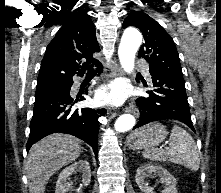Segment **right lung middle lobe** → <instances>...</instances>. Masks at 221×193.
I'll use <instances>...</instances> for the list:
<instances>
[{
  "mask_svg": "<svg viewBox=\"0 0 221 193\" xmlns=\"http://www.w3.org/2000/svg\"><path fill=\"white\" fill-rule=\"evenodd\" d=\"M48 87H50V86H47V87H37L36 93H39V92H41V91L47 89Z\"/></svg>",
  "mask_w": 221,
  "mask_h": 193,
  "instance_id": "dd1d6c3e",
  "label": "right lung middle lobe"
}]
</instances>
